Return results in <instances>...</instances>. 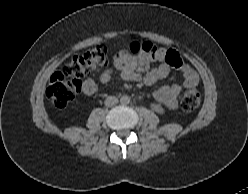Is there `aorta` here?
<instances>
[{"mask_svg": "<svg viewBox=\"0 0 248 194\" xmlns=\"http://www.w3.org/2000/svg\"><path fill=\"white\" fill-rule=\"evenodd\" d=\"M120 102L122 105H127L130 103V97L127 96V95H123L121 98H120Z\"/></svg>", "mask_w": 248, "mask_h": 194, "instance_id": "obj_1", "label": "aorta"}]
</instances>
